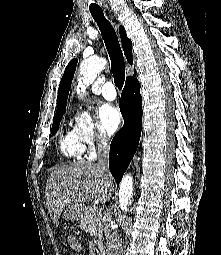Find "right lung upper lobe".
Wrapping results in <instances>:
<instances>
[{"label":"right lung upper lobe","mask_w":221,"mask_h":255,"mask_svg":"<svg viewBox=\"0 0 221 255\" xmlns=\"http://www.w3.org/2000/svg\"><path fill=\"white\" fill-rule=\"evenodd\" d=\"M120 38L123 46V50L125 56L130 64H132V42L126 36L125 29L120 26L119 27ZM77 65V59H73L67 65L63 77L61 79L59 89H58V97H57V110L56 113L65 111L67 98L70 90V86L72 83V79L74 76V72Z\"/></svg>","instance_id":"obj_1"}]
</instances>
